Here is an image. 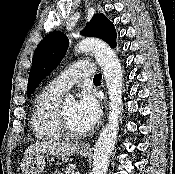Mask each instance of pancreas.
Listing matches in <instances>:
<instances>
[{"instance_id":"pancreas-1","label":"pancreas","mask_w":175,"mask_h":174,"mask_svg":"<svg viewBox=\"0 0 175 174\" xmlns=\"http://www.w3.org/2000/svg\"><path fill=\"white\" fill-rule=\"evenodd\" d=\"M65 174H75V166L70 164L69 166H67L64 170Z\"/></svg>"}]
</instances>
